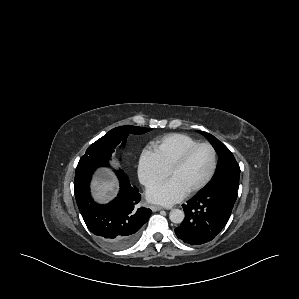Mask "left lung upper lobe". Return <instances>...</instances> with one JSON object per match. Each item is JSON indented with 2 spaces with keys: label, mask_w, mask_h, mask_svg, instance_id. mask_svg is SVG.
Here are the masks:
<instances>
[{
  "label": "left lung upper lobe",
  "mask_w": 299,
  "mask_h": 299,
  "mask_svg": "<svg viewBox=\"0 0 299 299\" xmlns=\"http://www.w3.org/2000/svg\"><path fill=\"white\" fill-rule=\"evenodd\" d=\"M218 153V165L211 181L199 192L208 190H226L237 195L240 167L232 152L213 135L202 132Z\"/></svg>",
  "instance_id": "1"
}]
</instances>
